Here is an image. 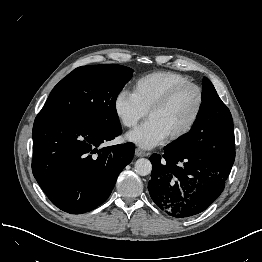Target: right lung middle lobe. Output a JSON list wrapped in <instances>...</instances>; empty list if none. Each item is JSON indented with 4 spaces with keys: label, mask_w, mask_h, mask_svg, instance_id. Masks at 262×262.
I'll list each match as a JSON object with an SVG mask.
<instances>
[{
    "label": "right lung middle lobe",
    "mask_w": 262,
    "mask_h": 262,
    "mask_svg": "<svg viewBox=\"0 0 262 262\" xmlns=\"http://www.w3.org/2000/svg\"><path fill=\"white\" fill-rule=\"evenodd\" d=\"M132 76L131 68L116 64L78 67L53 88L40 112L69 115L96 127H118L116 98Z\"/></svg>",
    "instance_id": "obj_1"
}]
</instances>
